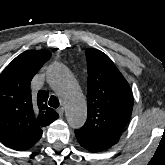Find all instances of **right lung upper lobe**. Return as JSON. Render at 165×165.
Here are the masks:
<instances>
[{"instance_id": "right-lung-upper-lobe-1", "label": "right lung upper lobe", "mask_w": 165, "mask_h": 165, "mask_svg": "<svg viewBox=\"0 0 165 165\" xmlns=\"http://www.w3.org/2000/svg\"><path fill=\"white\" fill-rule=\"evenodd\" d=\"M50 57L46 50L25 51L0 75V141L14 150L31 148L41 138V128L59 117L47 106V91H30L33 76Z\"/></svg>"}]
</instances>
